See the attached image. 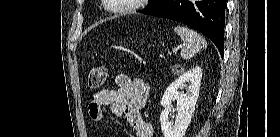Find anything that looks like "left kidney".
Masks as SVG:
<instances>
[{"label":"left kidney","instance_id":"obj_1","mask_svg":"<svg viewBox=\"0 0 280 137\" xmlns=\"http://www.w3.org/2000/svg\"><path fill=\"white\" fill-rule=\"evenodd\" d=\"M202 69L193 67L182 73L166 89L161 105L164 110L160 114L161 130L164 137H183L195 110V105L199 96ZM186 84V85H185ZM186 87V93L179 89ZM177 101V115L175 121L169 120L172 101Z\"/></svg>","mask_w":280,"mask_h":137}]
</instances>
